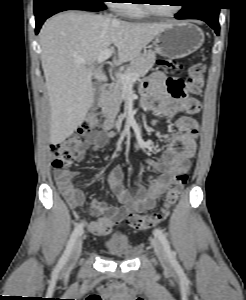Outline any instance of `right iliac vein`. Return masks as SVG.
<instances>
[{
	"label": "right iliac vein",
	"instance_id": "63e3f726",
	"mask_svg": "<svg viewBox=\"0 0 246 300\" xmlns=\"http://www.w3.org/2000/svg\"><path fill=\"white\" fill-rule=\"evenodd\" d=\"M81 249H82V238H79L76 243L74 244L72 251L69 255V258L67 260L65 269L70 270L72 269L76 262L78 261L80 254H81Z\"/></svg>",
	"mask_w": 246,
	"mask_h": 300
}]
</instances>
